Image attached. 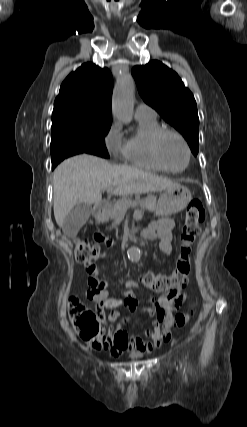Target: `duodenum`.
Returning <instances> with one entry per match:
<instances>
[{
  "instance_id": "obj_1",
  "label": "duodenum",
  "mask_w": 247,
  "mask_h": 427,
  "mask_svg": "<svg viewBox=\"0 0 247 427\" xmlns=\"http://www.w3.org/2000/svg\"><path fill=\"white\" fill-rule=\"evenodd\" d=\"M108 207H109V204L107 201L103 200V201L97 202L93 210L94 216L96 218H102L104 214L107 212Z\"/></svg>"
}]
</instances>
